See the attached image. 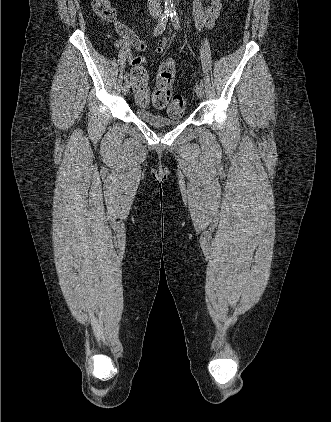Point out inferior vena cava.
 <instances>
[{"label":"inferior vena cava","mask_w":331,"mask_h":422,"mask_svg":"<svg viewBox=\"0 0 331 422\" xmlns=\"http://www.w3.org/2000/svg\"><path fill=\"white\" fill-rule=\"evenodd\" d=\"M149 9L151 11H159L160 9V0H148Z\"/></svg>","instance_id":"inferior-vena-cava-1"}]
</instances>
